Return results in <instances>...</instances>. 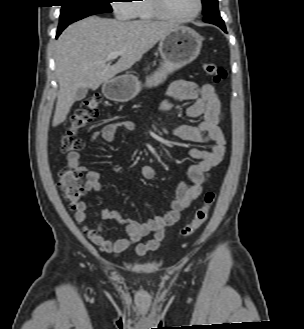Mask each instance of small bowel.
<instances>
[{
	"instance_id": "obj_1",
	"label": "small bowel",
	"mask_w": 304,
	"mask_h": 329,
	"mask_svg": "<svg viewBox=\"0 0 304 329\" xmlns=\"http://www.w3.org/2000/svg\"><path fill=\"white\" fill-rule=\"evenodd\" d=\"M184 101H192V104L186 110V115L189 118L202 117V121L198 125H175L171 129L172 135L187 142H212L213 147L210 150L192 148L189 151L190 156L197 160V163L188 169L191 185L179 184L169 209L154 218L137 222L118 210L103 209L101 211L102 222L96 227H91L87 224L86 204L81 201L74 209L75 220L82 225L83 233L101 251L118 256L133 245V254L137 257L156 251L164 239L165 228L177 222L182 211L200 196L203 185L209 178L210 170L223 160L226 152V142L221 129L224 112L215 88L208 83L198 85L189 81L176 82L170 86L167 98L160 104L159 111L162 115H165L174 103ZM134 128L135 125L130 120H114L95 132L92 140L99 139L103 142H111L117 130H133ZM81 160L82 155L78 152L68 155L69 165L85 174L86 190L99 191L102 187L100 174L97 171L89 170L82 164ZM140 175L146 180H151L155 177V169L151 165H144L140 168ZM110 221L123 226L127 237L115 241L106 240L102 234L103 226ZM149 233L154 234L152 239L145 243L139 242L143 236Z\"/></svg>"
}]
</instances>
